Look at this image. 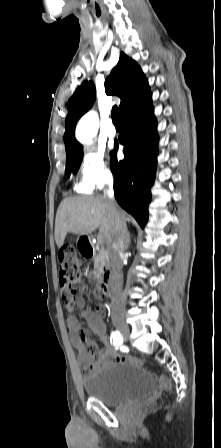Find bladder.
<instances>
[{
    "label": "bladder",
    "instance_id": "obj_1",
    "mask_svg": "<svg viewBox=\"0 0 221 448\" xmlns=\"http://www.w3.org/2000/svg\"><path fill=\"white\" fill-rule=\"evenodd\" d=\"M89 398L116 406L149 397L154 384L145 369L123 362L111 363L82 379Z\"/></svg>",
    "mask_w": 221,
    "mask_h": 448
}]
</instances>
